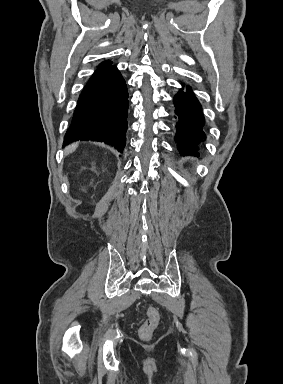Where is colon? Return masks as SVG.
Returning <instances> with one entry per match:
<instances>
[{"instance_id": "1", "label": "colon", "mask_w": 283, "mask_h": 384, "mask_svg": "<svg viewBox=\"0 0 283 384\" xmlns=\"http://www.w3.org/2000/svg\"><path fill=\"white\" fill-rule=\"evenodd\" d=\"M145 311L147 319L139 329V336L143 340H148L158 326L160 315L158 310L152 306L146 307Z\"/></svg>"}]
</instances>
